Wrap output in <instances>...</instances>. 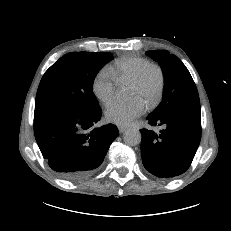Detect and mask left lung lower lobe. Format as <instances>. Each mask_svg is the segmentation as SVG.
Returning a JSON list of instances; mask_svg holds the SVG:
<instances>
[{
  "label": "left lung lower lobe",
  "instance_id": "1",
  "mask_svg": "<svg viewBox=\"0 0 231 231\" xmlns=\"http://www.w3.org/2000/svg\"><path fill=\"white\" fill-rule=\"evenodd\" d=\"M158 133L141 129V156L147 171L159 178H172L191 165L201 140L200 110L187 109L168 116L147 117Z\"/></svg>",
  "mask_w": 231,
  "mask_h": 231
}]
</instances>
